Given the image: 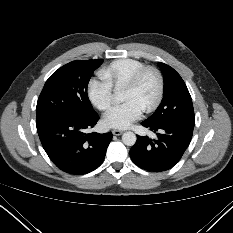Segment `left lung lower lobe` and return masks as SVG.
<instances>
[{"label": "left lung lower lobe", "instance_id": "obj_1", "mask_svg": "<svg viewBox=\"0 0 233 233\" xmlns=\"http://www.w3.org/2000/svg\"><path fill=\"white\" fill-rule=\"evenodd\" d=\"M142 125L157 133L158 138L151 140L148 136H138L130 149L132 161L147 171L171 169L189 146L194 124L176 122L155 126L143 121Z\"/></svg>", "mask_w": 233, "mask_h": 233}]
</instances>
